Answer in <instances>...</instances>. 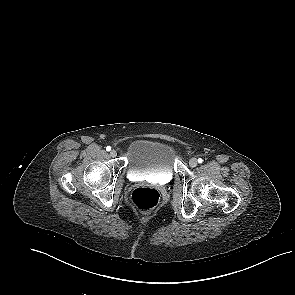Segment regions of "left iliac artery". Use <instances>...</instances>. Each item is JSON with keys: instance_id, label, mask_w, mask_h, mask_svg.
Returning <instances> with one entry per match:
<instances>
[{"instance_id": "left-iliac-artery-1", "label": "left iliac artery", "mask_w": 295, "mask_h": 295, "mask_svg": "<svg viewBox=\"0 0 295 295\" xmlns=\"http://www.w3.org/2000/svg\"><path fill=\"white\" fill-rule=\"evenodd\" d=\"M198 162L199 163H202L203 162V159L202 158H198Z\"/></svg>"}]
</instances>
